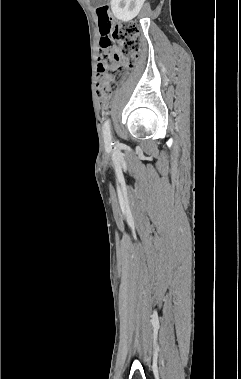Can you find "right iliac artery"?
<instances>
[{
  "label": "right iliac artery",
  "instance_id": "right-iliac-artery-1",
  "mask_svg": "<svg viewBox=\"0 0 241 379\" xmlns=\"http://www.w3.org/2000/svg\"><path fill=\"white\" fill-rule=\"evenodd\" d=\"M103 133H104V140H105L106 147L108 149H111L113 143H112L111 127H110L109 119L105 122L103 126Z\"/></svg>",
  "mask_w": 241,
  "mask_h": 379
}]
</instances>
